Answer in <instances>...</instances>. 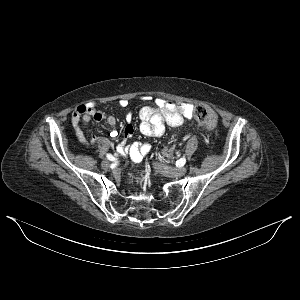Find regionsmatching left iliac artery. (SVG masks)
<instances>
[{
	"mask_svg": "<svg viewBox=\"0 0 300 300\" xmlns=\"http://www.w3.org/2000/svg\"><path fill=\"white\" fill-rule=\"evenodd\" d=\"M185 162H186L185 157L180 158V159L176 162V166L181 167V166H183V165L185 164Z\"/></svg>",
	"mask_w": 300,
	"mask_h": 300,
	"instance_id": "obj_1",
	"label": "left iliac artery"
}]
</instances>
